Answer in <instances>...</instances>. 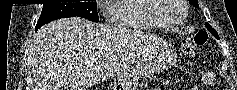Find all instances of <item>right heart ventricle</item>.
Segmentation results:
<instances>
[{
    "label": "right heart ventricle",
    "mask_w": 237,
    "mask_h": 90,
    "mask_svg": "<svg viewBox=\"0 0 237 90\" xmlns=\"http://www.w3.org/2000/svg\"><path fill=\"white\" fill-rule=\"evenodd\" d=\"M148 7H155L151 0H118L116 4L108 7V24H114V28H140L157 29V23L151 16L145 14Z\"/></svg>",
    "instance_id": "obj_1"
}]
</instances>
